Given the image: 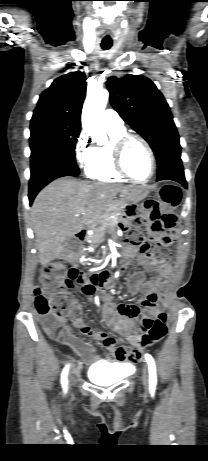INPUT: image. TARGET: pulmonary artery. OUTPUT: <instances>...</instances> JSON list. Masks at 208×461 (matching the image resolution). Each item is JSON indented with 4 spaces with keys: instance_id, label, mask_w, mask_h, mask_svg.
I'll use <instances>...</instances> for the list:
<instances>
[{
    "instance_id": "e3ab8cb5",
    "label": "pulmonary artery",
    "mask_w": 208,
    "mask_h": 461,
    "mask_svg": "<svg viewBox=\"0 0 208 461\" xmlns=\"http://www.w3.org/2000/svg\"><path fill=\"white\" fill-rule=\"evenodd\" d=\"M103 123L106 128L120 129L123 127L122 118L119 116V114L116 111L112 109H107L104 112Z\"/></svg>"
}]
</instances>
